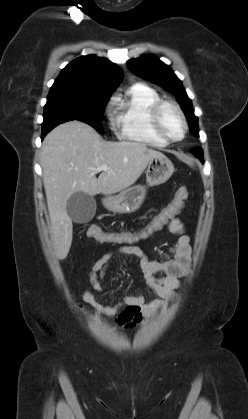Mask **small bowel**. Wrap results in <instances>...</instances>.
Returning <instances> with one entry per match:
<instances>
[{
	"instance_id": "c3829d8e",
	"label": "small bowel",
	"mask_w": 248,
	"mask_h": 419,
	"mask_svg": "<svg viewBox=\"0 0 248 419\" xmlns=\"http://www.w3.org/2000/svg\"><path fill=\"white\" fill-rule=\"evenodd\" d=\"M168 227L173 234L178 236V239L162 259L150 260L144 250L133 245L155 232L150 229L148 224L140 231L122 233L129 238V241L113 242L119 244V246L98 259L88 275V281L93 289L102 292L101 280L106 278L107 270L114 257H136L139 259V265L149 290L157 295L156 299L148 302L145 296L141 294L125 296L117 304L107 305L97 301L90 291H85L83 293L84 301L97 311L115 317L116 322L125 328H134L142 324L145 319L154 316L161 308L172 301L176 296V290L180 287L181 278L189 271L191 245L190 238L184 233V226L178 218L169 220ZM88 236L91 238L89 231Z\"/></svg>"
}]
</instances>
